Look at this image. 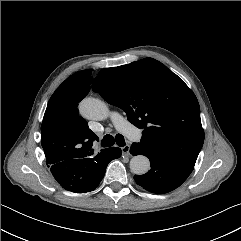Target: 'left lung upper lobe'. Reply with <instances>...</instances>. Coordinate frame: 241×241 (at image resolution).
<instances>
[{
    "mask_svg": "<svg viewBox=\"0 0 241 241\" xmlns=\"http://www.w3.org/2000/svg\"><path fill=\"white\" fill-rule=\"evenodd\" d=\"M92 89L143 129L138 145L195 165L204 142L199 103L184 81L164 64L145 58L103 69Z\"/></svg>",
    "mask_w": 241,
    "mask_h": 241,
    "instance_id": "left-lung-upper-lobe-1",
    "label": "left lung upper lobe"
}]
</instances>
